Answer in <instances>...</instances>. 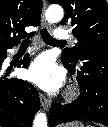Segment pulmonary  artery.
<instances>
[{"instance_id":"e3ab8cb5","label":"pulmonary artery","mask_w":108,"mask_h":127,"mask_svg":"<svg viewBox=\"0 0 108 127\" xmlns=\"http://www.w3.org/2000/svg\"><path fill=\"white\" fill-rule=\"evenodd\" d=\"M55 38L57 40L65 41L66 39L69 38V34L67 31H65L63 29H57L55 32Z\"/></svg>"}]
</instances>
